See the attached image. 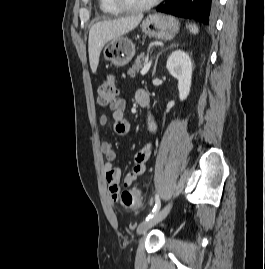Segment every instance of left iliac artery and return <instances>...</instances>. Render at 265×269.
<instances>
[{"mask_svg":"<svg viewBox=\"0 0 265 269\" xmlns=\"http://www.w3.org/2000/svg\"><path fill=\"white\" fill-rule=\"evenodd\" d=\"M160 206H161V202L159 199V195L156 194L155 195V206H154L153 210L150 212V214L146 217V220L153 218L157 214V212L159 211Z\"/></svg>","mask_w":265,"mask_h":269,"instance_id":"left-iliac-artery-1","label":"left iliac artery"}]
</instances>
